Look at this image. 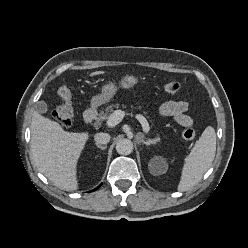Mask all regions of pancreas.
Returning a JSON list of instances; mask_svg holds the SVG:
<instances>
[{
	"label": "pancreas",
	"mask_w": 248,
	"mask_h": 248,
	"mask_svg": "<svg viewBox=\"0 0 248 248\" xmlns=\"http://www.w3.org/2000/svg\"><path fill=\"white\" fill-rule=\"evenodd\" d=\"M119 105H109L105 108L104 111H101L99 117L96 119V125H100L104 120L108 119L111 115V112H113V107H118Z\"/></svg>",
	"instance_id": "1"
}]
</instances>
